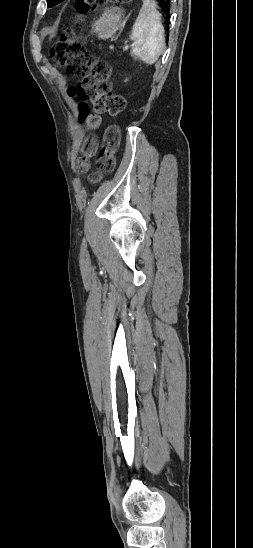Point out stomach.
<instances>
[{
  "mask_svg": "<svg viewBox=\"0 0 253 548\" xmlns=\"http://www.w3.org/2000/svg\"><path fill=\"white\" fill-rule=\"evenodd\" d=\"M122 13L119 8L106 9L100 19L92 25L93 31L101 39L113 37L121 26Z\"/></svg>",
  "mask_w": 253,
  "mask_h": 548,
  "instance_id": "stomach-1",
  "label": "stomach"
}]
</instances>
